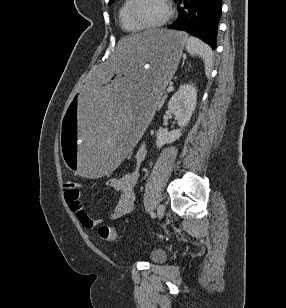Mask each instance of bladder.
I'll use <instances>...</instances> for the list:
<instances>
[{
  "instance_id": "obj_1",
  "label": "bladder",
  "mask_w": 286,
  "mask_h": 308,
  "mask_svg": "<svg viewBox=\"0 0 286 308\" xmlns=\"http://www.w3.org/2000/svg\"><path fill=\"white\" fill-rule=\"evenodd\" d=\"M149 257L152 262L159 263L166 259L167 253L163 249H154L151 251Z\"/></svg>"
}]
</instances>
